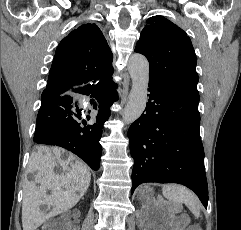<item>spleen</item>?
<instances>
[{
  "label": "spleen",
  "instance_id": "spleen-1",
  "mask_svg": "<svg viewBox=\"0 0 241 230\" xmlns=\"http://www.w3.org/2000/svg\"><path fill=\"white\" fill-rule=\"evenodd\" d=\"M163 195L172 202L184 203L196 217L200 215V203L197 196L185 187L167 185L163 187Z\"/></svg>",
  "mask_w": 241,
  "mask_h": 230
}]
</instances>
